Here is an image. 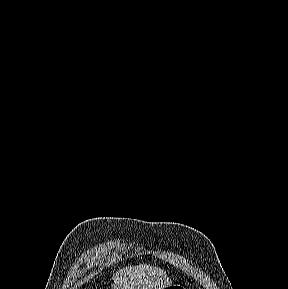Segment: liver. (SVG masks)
I'll use <instances>...</instances> for the list:
<instances>
[{
	"instance_id": "1",
	"label": "liver",
	"mask_w": 288,
	"mask_h": 289,
	"mask_svg": "<svg viewBox=\"0 0 288 289\" xmlns=\"http://www.w3.org/2000/svg\"><path fill=\"white\" fill-rule=\"evenodd\" d=\"M113 281L112 289H164L172 285L164 270L148 264L124 267Z\"/></svg>"
}]
</instances>
